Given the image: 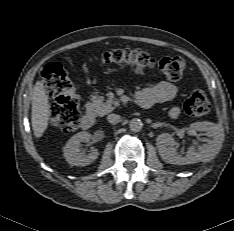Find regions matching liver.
Instances as JSON below:
<instances>
[{
	"label": "liver",
	"instance_id": "obj_1",
	"mask_svg": "<svg viewBox=\"0 0 234 231\" xmlns=\"http://www.w3.org/2000/svg\"><path fill=\"white\" fill-rule=\"evenodd\" d=\"M51 115L48 96L42 81H37L33 88L31 122L34 135L40 138L48 127Z\"/></svg>",
	"mask_w": 234,
	"mask_h": 231
}]
</instances>
